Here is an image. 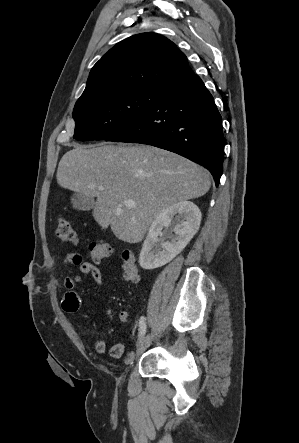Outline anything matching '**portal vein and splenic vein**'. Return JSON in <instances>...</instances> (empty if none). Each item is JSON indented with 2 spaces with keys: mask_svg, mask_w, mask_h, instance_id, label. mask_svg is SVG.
<instances>
[{
  "mask_svg": "<svg viewBox=\"0 0 299 443\" xmlns=\"http://www.w3.org/2000/svg\"><path fill=\"white\" fill-rule=\"evenodd\" d=\"M103 189H104L103 187H99V190H103ZM124 205L128 206V207H134L135 202L133 200H125Z\"/></svg>",
  "mask_w": 299,
  "mask_h": 443,
  "instance_id": "18ae733b",
  "label": "portal vein and splenic vein"
}]
</instances>
